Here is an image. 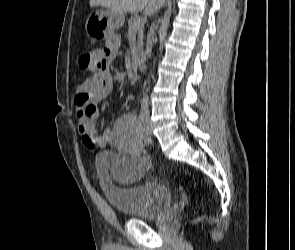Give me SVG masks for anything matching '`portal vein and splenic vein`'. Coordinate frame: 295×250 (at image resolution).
Returning a JSON list of instances; mask_svg holds the SVG:
<instances>
[{"instance_id": "18ae733b", "label": "portal vein and splenic vein", "mask_w": 295, "mask_h": 250, "mask_svg": "<svg viewBox=\"0 0 295 250\" xmlns=\"http://www.w3.org/2000/svg\"><path fill=\"white\" fill-rule=\"evenodd\" d=\"M145 22H146V17L139 18L138 21H137V23L135 24V27L144 25Z\"/></svg>"}]
</instances>
